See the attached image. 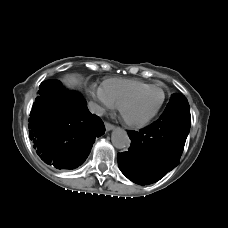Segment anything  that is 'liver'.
Listing matches in <instances>:
<instances>
[{
	"instance_id": "6515ba94",
	"label": "liver",
	"mask_w": 228,
	"mask_h": 228,
	"mask_svg": "<svg viewBox=\"0 0 228 228\" xmlns=\"http://www.w3.org/2000/svg\"><path fill=\"white\" fill-rule=\"evenodd\" d=\"M64 82L68 86H74L78 82V79L73 75H68L64 78Z\"/></svg>"
}]
</instances>
